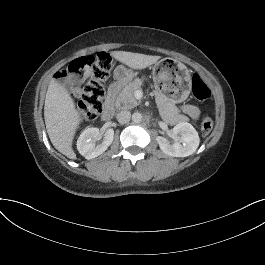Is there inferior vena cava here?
I'll use <instances>...</instances> for the list:
<instances>
[{
	"label": "inferior vena cava",
	"instance_id": "inferior-vena-cava-1",
	"mask_svg": "<svg viewBox=\"0 0 265 265\" xmlns=\"http://www.w3.org/2000/svg\"><path fill=\"white\" fill-rule=\"evenodd\" d=\"M131 118V113L130 111H121L117 114V120L121 124L128 123Z\"/></svg>",
	"mask_w": 265,
	"mask_h": 265
}]
</instances>
